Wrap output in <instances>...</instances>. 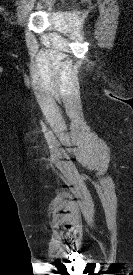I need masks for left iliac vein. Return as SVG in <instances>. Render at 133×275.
<instances>
[{
	"mask_svg": "<svg viewBox=\"0 0 133 275\" xmlns=\"http://www.w3.org/2000/svg\"><path fill=\"white\" fill-rule=\"evenodd\" d=\"M35 0H29L17 14V20L19 25H23L26 17L34 5Z\"/></svg>",
	"mask_w": 133,
	"mask_h": 275,
	"instance_id": "left-iliac-vein-1",
	"label": "left iliac vein"
}]
</instances>
